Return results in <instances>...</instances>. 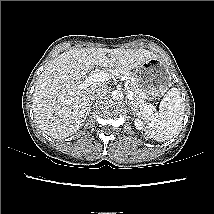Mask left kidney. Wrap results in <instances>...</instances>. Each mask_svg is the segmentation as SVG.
<instances>
[{
	"instance_id": "left-kidney-1",
	"label": "left kidney",
	"mask_w": 214,
	"mask_h": 214,
	"mask_svg": "<svg viewBox=\"0 0 214 214\" xmlns=\"http://www.w3.org/2000/svg\"><path fill=\"white\" fill-rule=\"evenodd\" d=\"M134 125H135L136 129H138V130L143 129V122L139 119H135Z\"/></svg>"
}]
</instances>
